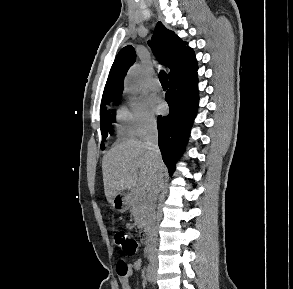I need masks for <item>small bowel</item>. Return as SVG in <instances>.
<instances>
[{"instance_id":"c3829d8e","label":"small bowel","mask_w":293,"mask_h":289,"mask_svg":"<svg viewBox=\"0 0 293 289\" xmlns=\"http://www.w3.org/2000/svg\"><path fill=\"white\" fill-rule=\"evenodd\" d=\"M142 267V263L137 261L135 262L133 265H132V269L133 270H138ZM121 288L122 289H130L129 286H128V283L126 281V279H123L122 282H121Z\"/></svg>"}]
</instances>
